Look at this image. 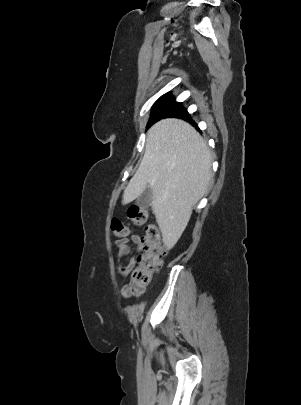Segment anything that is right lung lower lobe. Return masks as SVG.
Instances as JSON below:
<instances>
[{
    "instance_id": "right-lung-lower-lobe-1",
    "label": "right lung lower lobe",
    "mask_w": 301,
    "mask_h": 405,
    "mask_svg": "<svg viewBox=\"0 0 301 405\" xmlns=\"http://www.w3.org/2000/svg\"><path fill=\"white\" fill-rule=\"evenodd\" d=\"M174 117L182 118V119H184L186 121H189V122H191L193 125H195L197 127V125L191 120V117H190V115L188 113H185V114H182V115H179V116H174Z\"/></svg>"
}]
</instances>
